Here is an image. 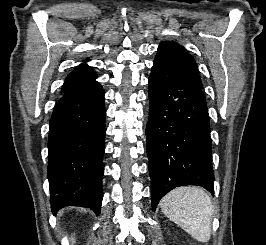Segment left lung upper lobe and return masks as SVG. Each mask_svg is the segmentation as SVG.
<instances>
[{
    "label": "left lung upper lobe",
    "instance_id": "left-lung-upper-lobe-1",
    "mask_svg": "<svg viewBox=\"0 0 266 245\" xmlns=\"http://www.w3.org/2000/svg\"><path fill=\"white\" fill-rule=\"evenodd\" d=\"M155 59L170 63L202 86L195 60L178 43L173 41L161 42Z\"/></svg>",
    "mask_w": 266,
    "mask_h": 245
}]
</instances>
